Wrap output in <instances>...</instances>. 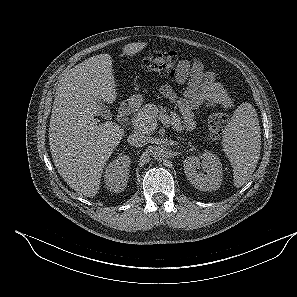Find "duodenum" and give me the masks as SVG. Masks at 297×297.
<instances>
[{
  "label": "duodenum",
  "instance_id": "1",
  "mask_svg": "<svg viewBox=\"0 0 297 297\" xmlns=\"http://www.w3.org/2000/svg\"><path fill=\"white\" fill-rule=\"evenodd\" d=\"M137 105L138 103L136 100H128L123 102L119 107L118 122L122 124L127 117L135 112Z\"/></svg>",
  "mask_w": 297,
  "mask_h": 297
}]
</instances>
